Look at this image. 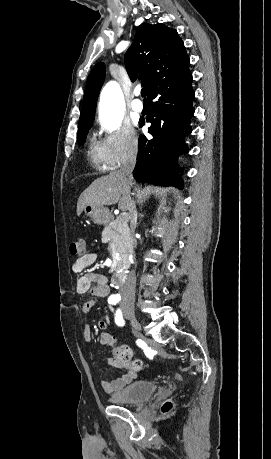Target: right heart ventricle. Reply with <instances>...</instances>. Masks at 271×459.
Listing matches in <instances>:
<instances>
[{"instance_id":"e07e8e85","label":"right heart ventricle","mask_w":271,"mask_h":459,"mask_svg":"<svg viewBox=\"0 0 271 459\" xmlns=\"http://www.w3.org/2000/svg\"><path fill=\"white\" fill-rule=\"evenodd\" d=\"M87 154H88V158H89L90 163L94 167H96V168L105 167L102 164V159H101V156H100L98 148H96L93 144L89 145Z\"/></svg>"}]
</instances>
